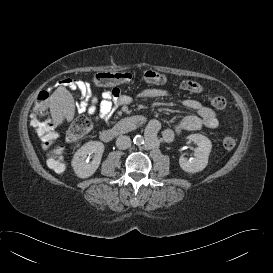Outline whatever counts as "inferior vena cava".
<instances>
[{
  "instance_id": "1",
  "label": "inferior vena cava",
  "mask_w": 273,
  "mask_h": 273,
  "mask_svg": "<svg viewBox=\"0 0 273 273\" xmlns=\"http://www.w3.org/2000/svg\"><path fill=\"white\" fill-rule=\"evenodd\" d=\"M116 146L118 149L125 150L131 146V139L129 136L120 135L116 140Z\"/></svg>"
}]
</instances>
